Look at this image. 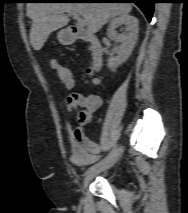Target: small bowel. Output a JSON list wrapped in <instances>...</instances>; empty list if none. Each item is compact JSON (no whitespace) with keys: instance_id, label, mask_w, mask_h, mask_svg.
<instances>
[{"instance_id":"c3829d8e","label":"small bowel","mask_w":188,"mask_h":213,"mask_svg":"<svg viewBox=\"0 0 188 213\" xmlns=\"http://www.w3.org/2000/svg\"><path fill=\"white\" fill-rule=\"evenodd\" d=\"M65 108L70 112H77L80 127L69 128L73 138L70 161L76 166L91 165L99 159L101 146L87 137L83 127L86 126L92 114L102 106V98L95 93L72 92L64 100Z\"/></svg>"}]
</instances>
